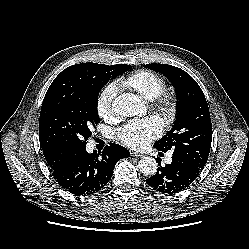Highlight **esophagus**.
I'll use <instances>...</instances> for the list:
<instances>
[{
	"mask_svg": "<svg viewBox=\"0 0 249 249\" xmlns=\"http://www.w3.org/2000/svg\"><path fill=\"white\" fill-rule=\"evenodd\" d=\"M130 155L134 156V157H142L143 156L142 153H138V152H134V151H130Z\"/></svg>",
	"mask_w": 249,
	"mask_h": 249,
	"instance_id": "esophagus-1",
	"label": "esophagus"
}]
</instances>
